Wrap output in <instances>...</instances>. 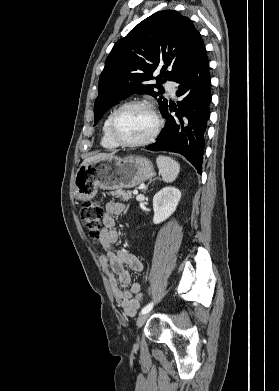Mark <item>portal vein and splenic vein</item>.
<instances>
[{
    "mask_svg": "<svg viewBox=\"0 0 279 391\" xmlns=\"http://www.w3.org/2000/svg\"><path fill=\"white\" fill-rule=\"evenodd\" d=\"M133 194L137 195V194H138V191H137V190H134V191H133Z\"/></svg>",
    "mask_w": 279,
    "mask_h": 391,
    "instance_id": "obj_1",
    "label": "portal vein and splenic vein"
}]
</instances>
